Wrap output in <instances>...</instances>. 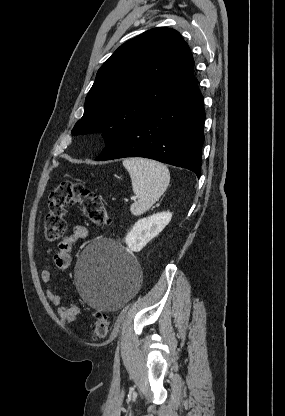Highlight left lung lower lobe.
Wrapping results in <instances>:
<instances>
[{"mask_svg":"<svg viewBox=\"0 0 285 416\" xmlns=\"http://www.w3.org/2000/svg\"><path fill=\"white\" fill-rule=\"evenodd\" d=\"M204 120L203 96L194 78L169 101L112 139L96 160L145 157L184 167L200 177Z\"/></svg>","mask_w":285,"mask_h":416,"instance_id":"obj_1","label":"left lung lower lobe"}]
</instances>
